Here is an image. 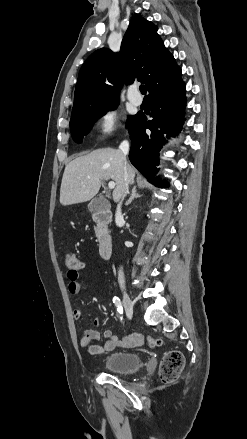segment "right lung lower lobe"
I'll return each mask as SVG.
<instances>
[{
  "label": "right lung lower lobe",
  "instance_id": "right-lung-lower-lobe-1",
  "mask_svg": "<svg viewBox=\"0 0 247 439\" xmlns=\"http://www.w3.org/2000/svg\"><path fill=\"white\" fill-rule=\"evenodd\" d=\"M183 81L152 94L150 99L152 120L144 114H136L128 126L131 138L129 159L131 163L155 185L167 186L154 177L158 170L159 151L165 144L164 134L176 135L183 125L186 103ZM149 129L151 132H146Z\"/></svg>",
  "mask_w": 247,
  "mask_h": 439
}]
</instances>
